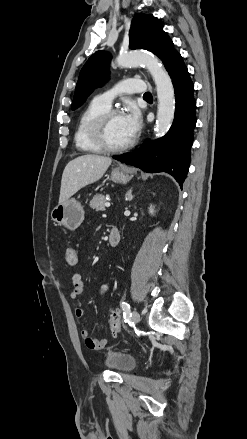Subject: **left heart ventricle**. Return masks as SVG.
<instances>
[{"label": "left heart ventricle", "mask_w": 247, "mask_h": 439, "mask_svg": "<svg viewBox=\"0 0 247 439\" xmlns=\"http://www.w3.org/2000/svg\"><path fill=\"white\" fill-rule=\"evenodd\" d=\"M131 139L124 126L122 115L113 116L109 120L107 127V140L109 144L112 146H120Z\"/></svg>", "instance_id": "b2bd125f"}]
</instances>
